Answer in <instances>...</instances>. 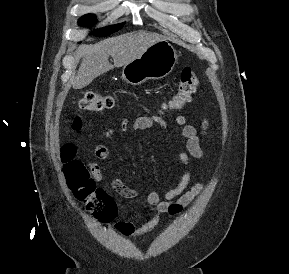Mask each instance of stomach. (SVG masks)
I'll list each match as a JSON object with an SVG mask.
<instances>
[{
    "label": "stomach",
    "mask_w": 289,
    "mask_h": 274,
    "mask_svg": "<svg viewBox=\"0 0 289 274\" xmlns=\"http://www.w3.org/2000/svg\"><path fill=\"white\" fill-rule=\"evenodd\" d=\"M177 58L174 47L168 41L160 40L123 66L122 79L131 85L162 79L172 72Z\"/></svg>",
    "instance_id": "stomach-1"
}]
</instances>
